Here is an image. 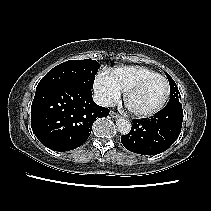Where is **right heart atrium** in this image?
I'll return each mask as SVG.
<instances>
[{
  "label": "right heart atrium",
  "instance_id": "1",
  "mask_svg": "<svg viewBox=\"0 0 211 211\" xmlns=\"http://www.w3.org/2000/svg\"><path fill=\"white\" fill-rule=\"evenodd\" d=\"M94 91L97 100L103 105H111L121 97V90L117 86L110 72L103 70L94 80Z\"/></svg>",
  "mask_w": 211,
  "mask_h": 211
}]
</instances>
